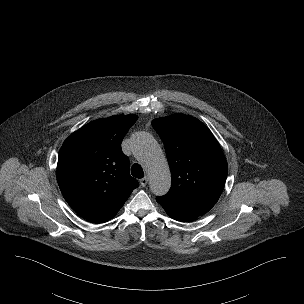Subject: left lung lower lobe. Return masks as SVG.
I'll use <instances>...</instances> for the list:
<instances>
[{"mask_svg": "<svg viewBox=\"0 0 304 304\" xmlns=\"http://www.w3.org/2000/svg\"><path fill=\"white\" fill-rule=\"evenodd\" d=\"M156 201L163 207L166 213L175 220L190 221L198 217V215L190 213L177 205L165 201L160 197H156Z\"/></svg>", "mask_w": 304, "mask_h": 304, "instance_id": "obj_1", "label": "left lung lower lobe"}]
</instances>
